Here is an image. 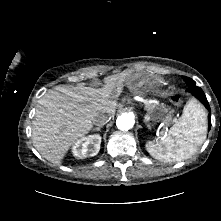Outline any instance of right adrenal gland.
<instances>
[{
  "mask_svg": "<svg viewBox=\"0 0 221 221\" xmlns=\"http://www.w3.org/2000/svg\"><path fill=\"white\" fill-rule=\"evenodd\" d=\"M101 128H102V126H99V127L93 128V131H100Z\"/></svg>",
  "mask_w": 221,
  "mask_h": 221,
  "instance_id": "obj_1",
  "label": "right adrenal gland"
}]
</instances>
